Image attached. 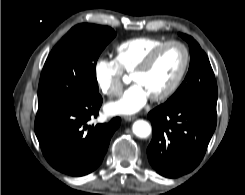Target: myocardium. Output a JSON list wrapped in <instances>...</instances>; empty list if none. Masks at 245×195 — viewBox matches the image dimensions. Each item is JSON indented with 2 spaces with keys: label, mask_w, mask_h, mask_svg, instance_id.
<instances>
[{
  "label": "myocardium",
  "mask_w": 245,
  "mask_h": 195,
  "mask_svg": "<svg viewBox=\"0 0 245 195\" xmlns=\"http://www.w3.org/2000/svg\"><path fill=\"white\" fill-rule=\"evenodd\" d=\"M170 46H179L183 50L184 60H183V64L181 66V69H180L178 75L176 76L174 81L170 84V86L167 89H165L163 92L150 97L151 100L156 101V102L163 101V100H166L167 98H169L177 90V88L181 84V82H182V80L186 74V71L188 69L189 60H190V55H189V51H188L187 47L179 41L164 42L163 44L154 48L150 53H148V55L141 61V63L132 72V76H135L137 74H141V73H144L145 71H147L151 67V65L153 64V62L157 58V56L164 49H166Z\"/></svg>",
  "instance_id": "myocardium-1"
}]
</instances>
